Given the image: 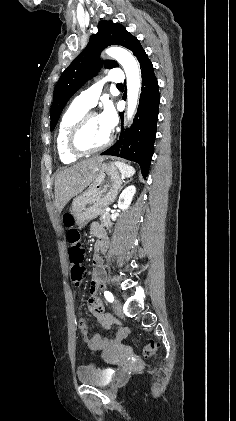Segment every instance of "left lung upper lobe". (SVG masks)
Masks as SVG:
<instances>
[{
    "mask_svg": "<svg viewBox=\"0 0 236 421\" xmlns=\"http://www.w3.org/2000/svg\"><path fill=\"white\" fill-rule=\"evenodd\" d=\"M110 45H121L134 52L140 46L138 39L126 31L122 24L103 20L98 24V32L92 35L87 47L62 73L54 90V99L51 106L52 131L59 116L70 97L90 78L95 76L100 68L99 55ZM106 68L117 67L114 60L105 62Z\"/></svg>",
    "mask_w": 236,
    "mask_h": 421,
    "instance_id": "obj_1",
    "label": "left lung upper lobe"
}]
</instances>
